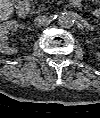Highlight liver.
Instances as JSON below:
<instances>
[{
	"label": "liver",
	"mask_w": 100,
	"mask_h": 118,
	"mask_svg": "<svg viewBox=\"0 0 100 118\" xmlns=\"http://www.w3.org/2000/svg\"><path fill=\"white\" fill-rule=\"evenodd\" d=\"M1 19H8L13 13V4L11 0H0Z\"/></svg>",
	"instance_id": "6515ba94"
}]
</instances>
